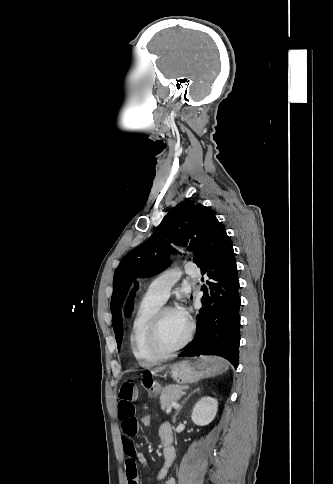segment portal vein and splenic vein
<instances>
[{"label":"portal vein and splenic vein","mask_w":333,"mask_h":484,"mask_svg":"<svg viewBox=\"0 0 333 484\" xmlns=\"http://www.w3.org/2000/svg\"><path fill=\"white\" fill-rule=\"evenodd\" d=\"M173 406H174L175 409H177L179 407V404L175 403ZM166 412L168 413L169 410H167Z\"/></svg>","instance_id":"obj_1"}]
</instances>
